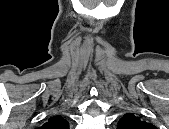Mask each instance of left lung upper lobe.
<instances>
[{
    "mask_svg": "<svg viewBox=\"0 0 169 129\" xmlns=\"http://www.w3.org/2000/svg\"><path fill=\"white\" fill-rule=\"evenodd\" d=\"M150 123L142 121L132 113L125 114L118 122L117 129H155Z\"/></svg>",
    "mask_w": 169,
    "mask_h": 129,
    "instance_id": "obj_1",
    "label": "left lung upper lobe"
}]
</instances>
